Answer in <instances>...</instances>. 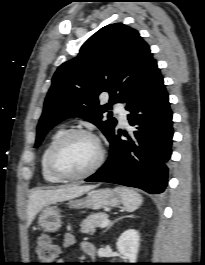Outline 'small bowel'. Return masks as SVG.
<instances>
[{"mask_svg":"<svg viewBox=\"0 0 205 265\" xmlns=\"http://www.w3.org/2000/svg\"><path fill=\"white\" fill-rule=\"evenodd\" d=\"M74 242H75L74 235L66 234V236L64 238V241H63V245H64V247H70V246H72L74 244ZM88 245H90V243H88V242H85L83 244V249L85 250V252H86V248H87Z\"/></svg>","mask_w":205,"mask_h":265,"instance_id":"small-bowel-1","label":"small bowel"}]
</instances>
